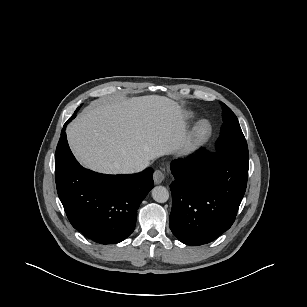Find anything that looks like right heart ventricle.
Segmentation results:
<instances>
[{"label":"right heart ventricle","mask_w":307,"mask_h":307,"mask_svg":"<svg viewBox=\"0 0 307 307\" xmlns=\"http://www.w3.org/2000/svg\"><path fill=\"white\" fill-rule=\"evenodd\" d=\"M186 117H187V118H190V117H191V115H190V114H187V115H186Z\"/></svg>","instance_id":"obj_1"}]
</instances>
